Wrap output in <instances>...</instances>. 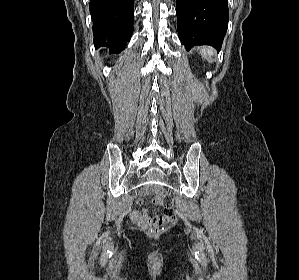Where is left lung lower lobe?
<instances>
[{"label":"left lung lower lobe","instance_id":"left-lung-lower-lobe-1","mask_svg":"<svg viewBox=\"0 0 299 280\" xmlns=\"http://www.w3.org/2000/svg\"><path fill=\"white\" fill-rule=\"evenodd\" d=\"M177 30L186 49L221 48L228 27V0H176Z\"/></svg>","mask_w":299,"mask_h":280}]
</instances>
